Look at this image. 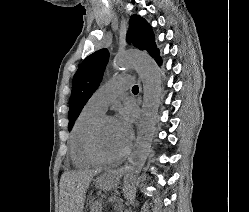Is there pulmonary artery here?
<instances>
[{
    "label": "pulmonary artery",
    "instance_id": "e3ab8cb5",
    "mask_svg": "<svg viewBox=\"0 0 249 212\" xmlns=\"http://www.w3.org/2000/svg\"><path fill=\"white\" fill-rule=\"evenodd\" d=\"M129 79L128 75H119L109 79L92 94L88 102L104 112L112 100L131 87Z\"/></svg>",
    "mask_w": 249,
    "mask_h": 212
}]
</instances>
